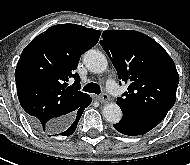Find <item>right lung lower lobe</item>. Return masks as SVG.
<instances>
[{
  "instance_id": "1",
  "label": "right lung lower lobe",
  "mask_w": 190,
  "mask_h": 165,
  "mask_svg": "<svg viewBox=\"0 0 190 165\" xmlns=\"http://www.w3.org/2000/svg\"><path fill=\"white\" fill-rule=\"evenodd\" d=\"M91 98H89L75 113L72 120L66 125V127L62 130L53 131L50 133H46L49 136L62 135V136H70L76 129L78 121L84 111V109L91 103ZM29 122L38 129L37 121L34 118L28 117Z\"/></svg>"
}]
</instances>
